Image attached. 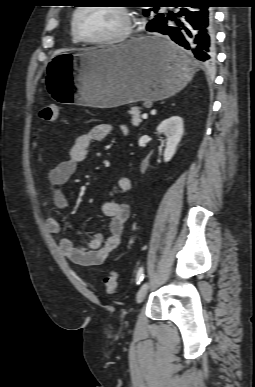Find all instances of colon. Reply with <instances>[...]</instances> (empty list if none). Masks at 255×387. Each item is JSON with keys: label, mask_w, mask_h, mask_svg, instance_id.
<instances>
[{"label": "colon", "mask_w": 255, "mask_h": 387, "mask_svg": "<svg viewBox=\"0 0 255 387\" xmlns=\"http://www.w3.org/2000/svg\"><path fill=\"white\" fill-rule=\"evenodd\" d=\"M40 118L46 122H55L58 118V108L56 105L44 106L40 111ZM118 283V273L111 270L103 279L104 290L108 294H113L116 291Z\"/></svg>", "instance_id": "obj_1"}]
</instances>
